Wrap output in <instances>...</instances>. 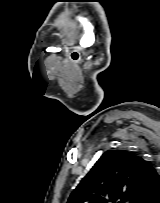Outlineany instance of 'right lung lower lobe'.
Here are the masks:
<instances>
[{
	"label": "right lung lower lobe",
	"mask_w": 160,
	"mask_h": 203,
	"mask_svg": "<svg viewBox=\"0 0 160 203\" xmlns=\"http://www.w3.org/2000/svg\"><path fill=\"white\" fill-rule=\"evenodd\" d=\"M150 203H160V196H158L157 198H155L152 202Z\"/></svg>",
	"instance_id": "98d812e1"
}]
</instances>
